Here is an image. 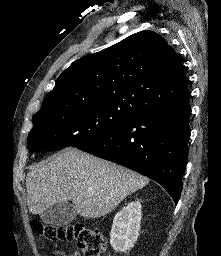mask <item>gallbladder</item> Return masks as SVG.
Returning <instances> with one entry per match:
<instances>
[{
	"mask_svg": "<svg viewBox=\"0 0 221 256\" xmlns=\"http://www.w3.org/2000/svg\"><path fill=\"white\" fill-rule=\"evenodd\" d=\"M76 209L69 202L56 203L46 209L41 219L45 224L64 226L69 224L76 217Z\"/></svg>",
	"mask_w": 221,
	"mask_h": 256,
	"instance_id": "1",
	"label": "gallbladder"
}]
</instances>
